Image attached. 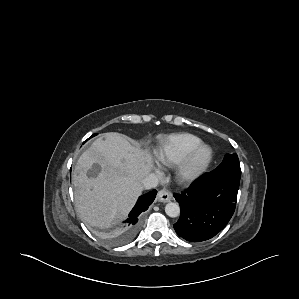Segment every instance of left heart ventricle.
Here are the masks:
<instances>
[{
  "instance_id": "obj_1",
  "label": "left heart ventricle",
  "mask_w": 299,
  "mask_h": 299,
  "mask_svg": "<svg viewBox=\"0 0 299 299\" xmlns=\"http://www.w3.org/2000/svg\"><path fill=\"white\" fill-rule=\"evenodd\" d=\"M206 154H207V152L204 151V152L201 154L200 159H201V160L204 159V158L206 157Z\"/></svg>"
}]
</instances>
